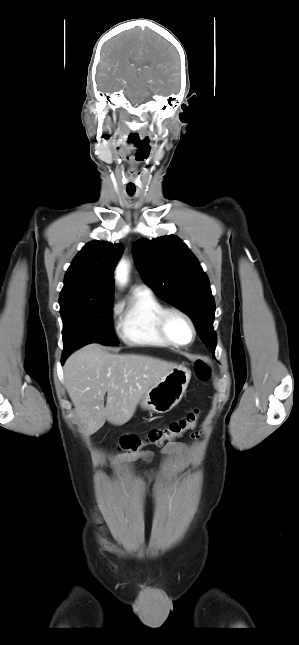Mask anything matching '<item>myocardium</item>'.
<instances>
[{
	"instance_id": "obj_1",
	"label": "myocardium",
	"mask_w": 299,
	"mask_h": 645,
	"mask_svg": "<svg viewBox=\"0 0 299 645\" xmlns=\"http://www.w3.org/2000/svg\"><path fill=\"white\" fill-rule=\"evenodd\" d=\"M173 315H178L182 317L189 325L191 329V338L188 342L182 343L176 341L171 334L169 333L168 330V321L169 318ZM158 331L162 338L167 341L170 345L177 346V347H185L190 344H192L195 341L197 331H196V326L192 320V318L183 310L176 308V307H167L162 310V312L158 316Z\"/></svg>"
}]
</instances>
